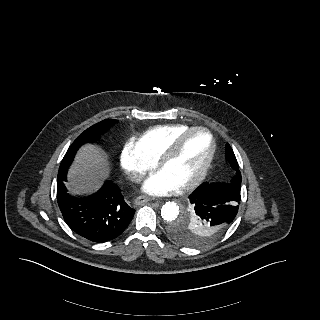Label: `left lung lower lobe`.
<instances>
[{"label":"left lung lower lobe","instance_id":"1","mask_svg":"<svg viewBox=\"0 0 320 320\" xmlns=\"http://www.w3.org/2000/svg\"><path fill=\"white\" fill-rule=\"evenodd\" d=\"M240 190L231 184L204 182L190 195L191 207L210 226L208 238L221 235L230 226L238 212Z\"/></svg>","mask_w":320,"mask_h":320}]
</instances>
